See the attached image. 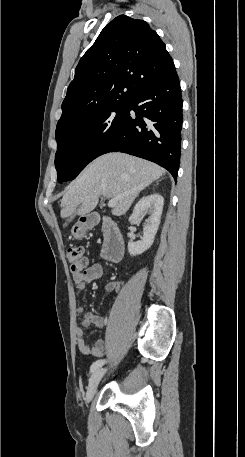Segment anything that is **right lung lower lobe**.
Masks as SVG:
<instances>
[{"instance_id":"obj_1","label":"right lung lower lobe","mask_w":245,"mask_h":457,"mask_svg":"<svg viewBox=\"0 0 245 457\" xmlns=\"http://www.w3.org/2000/svg\"><path fill=\"white\" fill-rule=\"evenodd\" d=\"M182 96L176 71L149 80L129 102V114L107 150L153 161L177 179L181 155ZM133 110L136 117L130 115Z\"/></svg>"}]
</instances>
